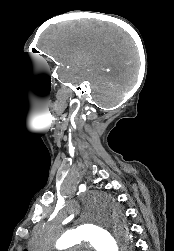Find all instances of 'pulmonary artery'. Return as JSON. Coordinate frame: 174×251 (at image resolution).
<instances>
[{"mask_svg":"<svg viewBox=\"0 0 174 251\" xmlns=\"http://www.w3.org/2000/svg\"><path fill=\"white\" fill-rule=\"evenodd\" d=\"M84 246H85V247H89V245H88V244H84ZM70 251H73V250H70Z\"/></svg>","mask_w":174,"mask_h":251,"instance_id":"obj_1","label":"pulmonary artery"}]
</instances>
